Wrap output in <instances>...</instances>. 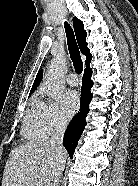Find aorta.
<instances>
[{
  "label": "aorta",
  "instance_id": "obj_1",
  "mask_svg": "<svg viewBox=\"0 0 138 186\" xmlns=\"http://www.w3.org/2000/svg\"><path fill=\"white\" fill-rule=\"evenodd\" d=\"M67 68L64 54H58L53 58L49 66L46 84L51 98L56 99L58 94L64 89V74Z\"/></svg>",
  "mask_w": 138,
  "mask_h": 186
}]
</instances>
